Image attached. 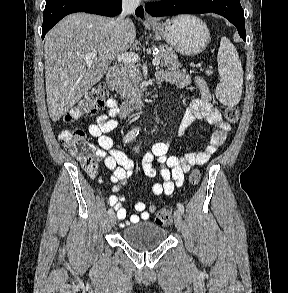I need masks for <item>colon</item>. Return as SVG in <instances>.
<instances>
[{
    "mask_svg": "<svg viewBox=\"0 0 288 293\" xmlns=\"http://www.w3.org/2000/svg\"><path fill=\"white\" fill-rule=\"evenodd\" d=\"M109 97L110 93L104 83L95 85L75 106L65 113L64 121L72 123L86 118L101 108ZM224 115L228 123L234 124L238 121L240 112L237 107L232 106L226 108ZM58 139L62 146L81 164L86 173L90 176L96 175L98 164L95 159V152L82 129L61 130L58 134ZM200 179L199 170L194 169L189 175V185L192 188L197 187ZM171 221L172 210L169 207L161 209L156 214V223L159 225H169Z\"/></svg>",
    "mask_w": 288,
    "mask_h": 293,
    "instance_id": "1",
    "label": "colon"
}]
</instances>
